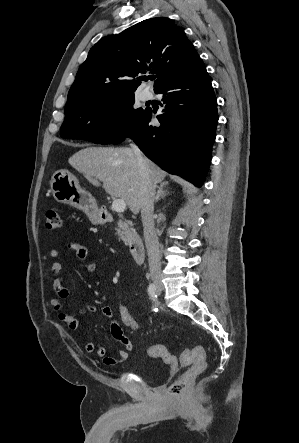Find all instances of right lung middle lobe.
<instances>
[{"mask_svg": "<svg viewBox=\"0 0 299 443\" xmlns=\"http://www.w3.org/2000/svg\"><path fill=\"white\" fill-rule=\"evenodd\" d=\"M134 102V94H125L70 105L65 108L61 137L109 144L144 112L135 109Z\"/></svg>", "mask_w": 299, "mask_h": 443, "instance_id": "obj_1", "label": "right lung middle lobe"}]
</instances>
